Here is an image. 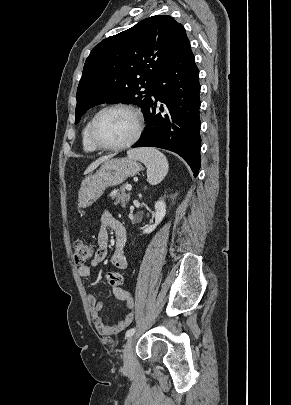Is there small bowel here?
Returning <instances> with one entry per match:
<instances>
[{"mask_svg": "<svg viewBox=\"0 0 291 405\" xmlns=\"http://www.w3.org/2000/svg\"><path fill=\"white\" fill-rule=\"evenodd\" d=\"M109 229L113 231L115 236V249L111 256V262L118 269L127 268L128 261L124 252V247L126 244V230L124 226L109 212H104L100 219V230L97 236V251L90 264L78 268V273L80 276L89 277L93 268L105 260L108 253ZM112 289L116 298L124 301L129 309L133 307L134 299L128 291L123 290L120 286H112ZM87 300L90 306L93 324L101 336L109 337L117 335L124 331L133 321L134 314L132 311H129L116 325H105L100 315L101 311L104 309V304L97 301L93 294H89Z\"/></svg>", "mask_w": 291, "mask_h": 405, "instance_id": "small-bowel-1", "label": "small bowel"}]
</instances>
